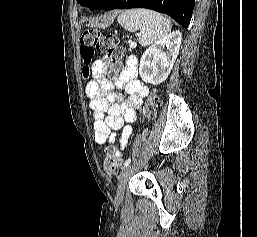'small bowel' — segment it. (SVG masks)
Instances as JSON below:
<instances>
[{
  "mask_svg": "<svg viewBox=\"0 0 257 237\" xmlns=\"http://www.w3.org/2000/svg\"><path fill=\"white\" fill-rule=\"evenodd\" d=\"M108 66L103 60L93 65L94 79L86 85V95L93 112L94 140L101 145L114 143L116 134L121 131L122 149L127 145L132 133L131 124L137 119L136 110L148 95V90L137 79L134 60L127 66L115 83L105 77ZM115 88L124 90L127 96L119 94Z\"/></svg>",
  "mask_w": 257,
  "mask_h": 237,
  "instance_id": "small-bowel-1",
  "label": "small bowel"
}]
</instances>
